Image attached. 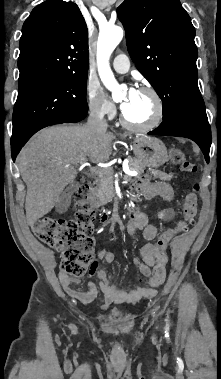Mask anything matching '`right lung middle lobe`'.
<instances>
[{"instance_id":"right-lung-middle-lobe-1","label":"right lung middle lobe","mask_w":221,"mask_h":379,"mask_svg":"<svg viewBox=\"0 0 221 379\" xmlns=\"http://www.w3.org/2000/svg\"><path fill=\"white\" fill-rule=\"evenodd\" d=\"M87 76L63 75L19 85L11 143L27 140L44 127L86 113Z\"/></svg>"}]
</instances>
